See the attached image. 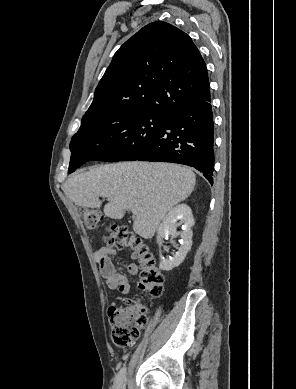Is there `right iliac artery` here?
I'll return each mask as SVG.
<instances>
[{"instance_id":"82829eb1","label":"right iliac artery","mask_w":296,"mask_h":389,"mask_svg":"<svg viewBox=\"0 0 296 389\" xmlns=\"http://www.w3.org/2000/svg\"><path fill=\"white\" fill-rule=\"evenodd\" d=\"M125 380H126V368L123 367V368L119 371V373L117 374L115 388H116V389H123V388H124Z\"/></svg>"}]
</instances>
